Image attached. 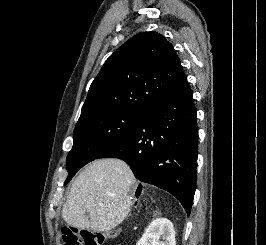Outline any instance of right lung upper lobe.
I'll return each mask as SVG.
<instances>
[{
    "label": "right lung upper lobe",
    "mask_w": 266,
    "mask_h": 245,
    "mask_svg": "<svg viewBox=\"0 0 266 245\" xmlns=\"http://www.w3.org/2000/svg\"><path fill=\"white\" fill-rule=\"evenodd\" d=\"M186 83L172 44L157 32H141L104 63L90 86L80 118L111 108L146 112Z\"/></svg>",
    "instance_id": "obj_1"
}]
</instances>
